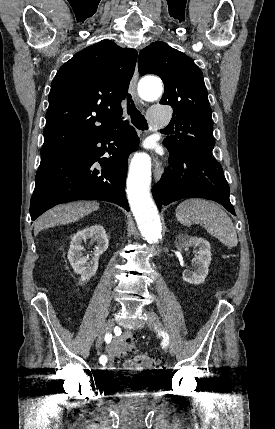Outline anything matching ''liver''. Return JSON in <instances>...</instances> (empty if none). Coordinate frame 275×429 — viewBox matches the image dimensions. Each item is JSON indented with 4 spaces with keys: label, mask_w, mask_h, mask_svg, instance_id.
Returning <instances> with one entry per match:
<instances>
[{
    "label": "liver",
    "mask_w": 275,
    "mask_h": 429,
    "mask_svg": "<svg viewBox=\"0 0 275 429\" xmlns=\"http://www.w3.org/2000/svg\"><path fill=\"white\" fill-rule=\"evenodd\" d=\"M98 208L99 204L96 202H75L56 206L35 221L34 233L37 235L43 229L74 222Z\"/></svg>",
    "instance_id": "liver-1"
}]
</instances>
